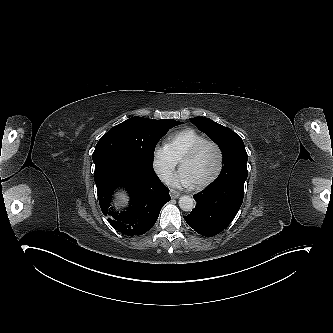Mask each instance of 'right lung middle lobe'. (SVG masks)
I'll list each match as a JSON object with an SVG mask.
<instances>
[{
	"label": "right lung middle lobe",
	"mask_w": 333,
	"mask_h": 333,
	"mask_svg": "<svg viewBox=\"0 0 333 333\" xmlns=\"http://www.w3.org/2000/svg\"><path fill=\"white\" fill-rule=\"evenodd\" d=\"M180 124L181 122L173 119L132 117L112 127L104 136L115 137L124 142L145 164L152 166L158 140L173 126Z\"/></svg>",
	"instance_id": "obj_1"
}]
</instances>
